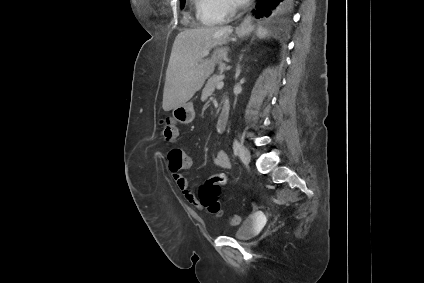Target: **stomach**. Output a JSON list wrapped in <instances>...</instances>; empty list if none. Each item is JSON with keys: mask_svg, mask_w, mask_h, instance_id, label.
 <instances>
[{"mask_svg": "<svg viewBox=\"0 0 424 283\" xmlns=\"http://www.w3.org/2000/svg\"><path fill=\"white\" fill-rule=\"evenodd\" d=\"M248 31L237 32V35L244 38ZM172 115L176 121L181 124H189L195 118V111L193 103H185L173 109Z\"/></svg>", "mask_w": 424, "mask_h": 283, "instance_id": "0dacf381", "label": "stomach"}]
</instances>
